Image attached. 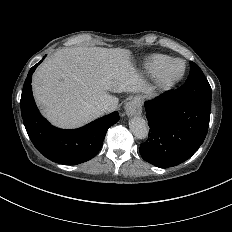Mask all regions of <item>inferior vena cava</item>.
<instances>
[{"label": "inferior vena cava", "mask_w": 232, "mask_h": 232, "mask_svg": "<svg viewBox=\"0 0 232 232\" xmlns=\"http://www.w3.org/2000/svg\"><path fill=\"white\" fill-rule=\"evenodd\" d=\"M98 110H100L102 112V114L114 111V106H113L112 100H105V101H103L98 106Z\"/></svg>", "instance_id": "obj_1"}]
</instances>
